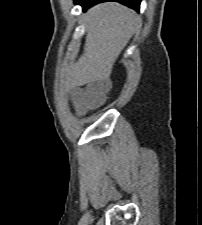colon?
Instances as JSON below:
<instances>
[{"label":"colon","mask_w":202,"mask_h":225,"mask_svg":"<svg viewBox=\"0 0 202 225\" xmlns=\"http://www.w3.org/2000/svg\"><path fill=\"white\" fill-rule=\"evenodd\" d=\"M88 90L91 94L90 104L92 106H96V105H100L104 102V100L106 99V96L110 92L111 88L91 85L88 87Z\"/></svg>","instance_id":"5ec220e1"}]
</instances>
